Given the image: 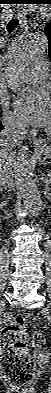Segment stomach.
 Returning <instances> with one entry per match:
<instances>
[{
    "instance_id": "1",
    "label": "stomach",
    "mask_w": 51,
    "mask_h": 393,
    "mask_svg": "<svg viewBox=\"0 0 51 393\" xmlns=\"http://www.w3.org/2000/svg\"><path fill=\"white\" fill-rule=\"evenodd\" d=\"M39 164L51 165V144H42L35 152Z\"/></svg>"
}]
</instances>
